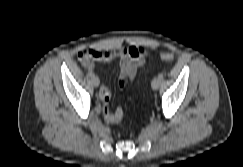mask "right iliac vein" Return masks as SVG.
<instances>
[{"label":"right iliac vein","instance_id":"right-iliac-vein-1","mask_svg":"<svg viewBox=\"0 0 243 167\" xmlns=\"http://www.w3.org/2000/svg\"><path fill=\"white\" fill-rule=\"evenodd\" d=\"M92 83H93V85H94L95 87H98L99 84H100L99 78L96 77V76H93V77H92Z\"/></svg>","mask_w":243,"mask_h":167}]
</instances>
